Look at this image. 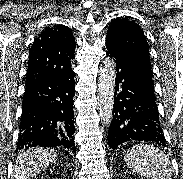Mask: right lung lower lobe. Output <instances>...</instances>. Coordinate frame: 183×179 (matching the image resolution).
I'll list each match as a JSON object with an SVG mask.
<instances>
[{
	"label": "right lung lower lobe",
	"instance_id": "98d812e1",
	"mask_svg": "<svg viewBox=\"0 0 183 179\" xmlns=\"http://www.w3.org/2000/svg\"><path fill=\"white\" fill-rule=\"evenodd\" d=\"M74 95V76L27 83L16 150L63 146L75 151Z\"/></svg>",
	"mask_w": 183,
	"mask_h": 179
}]
</instances>
